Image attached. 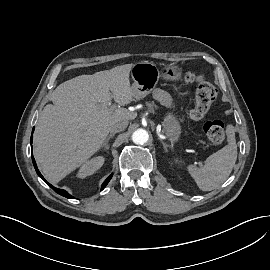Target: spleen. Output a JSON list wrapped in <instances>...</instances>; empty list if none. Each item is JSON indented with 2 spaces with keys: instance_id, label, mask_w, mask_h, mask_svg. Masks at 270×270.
<instances>
[{
  "instance_id": "3e777b00",
  "label": "spleen",
  "mask_w": 270,
  "mask_h": 270,
  "mask_svg": "<svg viewBox=\"0 0 270 270\" xmlns=\"http://www.w3.org/2000/svg\"><path fill=\"white\" fill-rule=\"evenodd\" d=\"M228 145L210 155L203 167L189 165V173L202 191H211L220 186L232 172L237 159V145L232 125L227 126Z\"/></svg>"
}]
</instances>
